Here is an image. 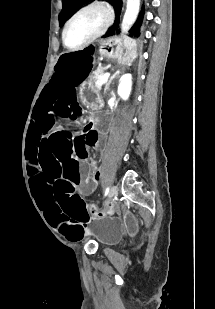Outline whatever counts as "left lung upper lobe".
Segmentation results:
<instances>
[{"label": "left lung upper lobe", "mask_w": 215, "mask_h": 309, "mask_svg": "<svg viewBox=\"0 0 215 309\" xmlns=\"http://www.w3.org/2000/svg\"><path fill=\"white\" fill-rule=\"evenodd\" d=\"M89 0H63V10L59 16L60 18V25L62 26L64 22L71 16V14L77 10L81 5L88 2ZM115 8V14H116V24L112 26L110 31L105 36H111L114 35L115 32H118V23H119V16L121 14L122 9V0H109ZM144 14V9H142L140 16L137 20V22L134 24V26L130 30V34L136 37L140 36V26L142 23ZM116 28V30H115Z\"/></svg>", "instance_id": "obj_1"}]
</instances>
